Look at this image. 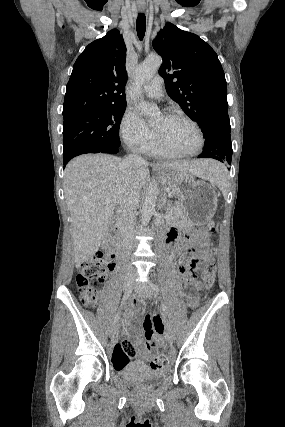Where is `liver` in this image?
<instances>
[{
	"instance_id": "liver-1",
	"label": "liver",
	"mask_w": 285,
	"mask_h": 427,
	"mask_svg": "<svg viewBox=\"0 0 285 427\" xmlns=\"http://www.w3.org/2000/svg\"><path fill=\"white\" fill-rule=\"evenodd\" d=\"M213 160L164 162L159 179L168 182V172H189L205 180L213 178ZM148 163L129 167L126 159L107 154H87L70 161L64 171V195L72 219L75 264L79 267L99 250L114 211L124 199L136 204L149 180Z\"/></svg>"
}]
</instances>
